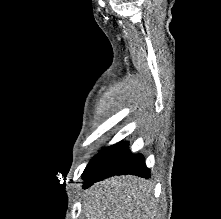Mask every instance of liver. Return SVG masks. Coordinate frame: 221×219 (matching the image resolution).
<instances>
[{"mask_svg": "<svg viewBox=\"0 0 221 219\" xmlns=\"http://www.w3.org/2000/svg\"><path fill=\"white\" fill-rule=\"evenodd\" d=\"M82 213L87 219H155L153 186L132 175L103 180L85 191Z\"/></svg>", "mask_w": 221, "mask_h": 219, "instance_id": "liver-1", "label": "liver"}]
</instances>
